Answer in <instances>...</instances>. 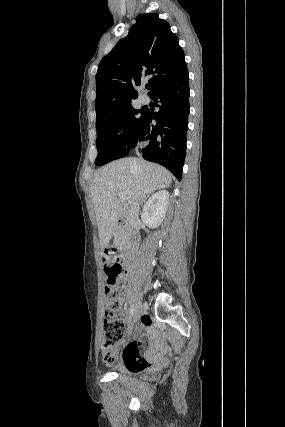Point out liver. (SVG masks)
Returning a JSON list of instances; mask_svg holds the SVG:
<instances>
[{"label": "liver", "mask_w": 285, "mask_h": 427, "mask_svg": "<svg viewBox=\"0 0 285 427\" xmlns=\"http://www.w3.org/2000/svg\"><path fill=\"white\" fill-rule=\"evenodd\" d=\"M172 174L164 167L142 158H123L101 168L92 184L91 198L99 232L100 247L104 249L124 212L119 193L128 205L138 198L144 201L156 190L170 186Z\"/></svg>", "instance_id": "1"}]
</instances>
